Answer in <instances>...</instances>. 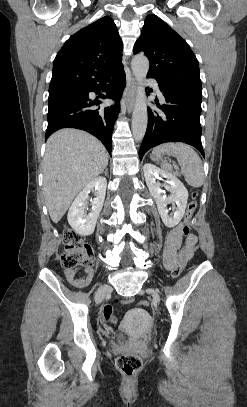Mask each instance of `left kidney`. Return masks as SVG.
<instances>
[{"instance_id": "obj_1", "label": "left kidney", "mask_w": 247, "mask_h": 407, "mask_svg": "<svg viewBox=\"0 0 247 407\" xmlns=\"http://www.w3.org/2000/svg\"><path fill=\"white\" fill-rule=\"evenodd\" d=\"M145 181L150 191L151 196L155 200L158 208V212L162 218L165 226L172 228L176 226L184 216L188 191L183 183L173 174L164 171L151 163H146L143 167ZM167 179V184H160L156 182V179ZM164 186L167 191L171 193L170 196H166L161 189ZM170 203L176 204V210L173 216L168 214L167 205Z\"/></svg>"}]
</instances>
